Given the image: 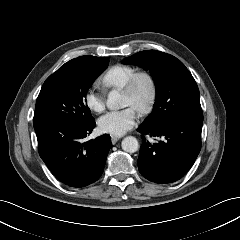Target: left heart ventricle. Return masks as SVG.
Returning <instances> with one entry per match:
<instances>
[{
    "label": "left heart ventricle",
    "instance_id": "1",
    "mask_svg": "<svg viewBox=\"0 0 240 240\" xmlns=\"http://www.w3.org/2000/svg\"><path fill=\"white\" fill-rule=\"evenodd\" d=\"M148 84L145 80H141L137 86L134 94L128 95L125 93L121 94V104L133 108L135 111L144 104L148 96Z\"/></svg>",
    "mask_w": 240,
    "mask_h": 240
}]
</instances>
